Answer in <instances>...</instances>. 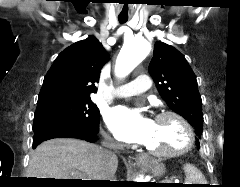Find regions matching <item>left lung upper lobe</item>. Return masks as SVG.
Segmentation results:
<instances>
[{
  "mask_svg": "<svg viewBox=\"0 0 240 187\" xmlns=\"http://www.w3.org/2000/svg\"><path fill=\"white\" fill-rule=\"evenodd\" d=\"M149 73L167 105L185 117L201 137L203 126L202 99L194 72L185 57L174 47L156 42ZM197 147L199 141L196 139Z\"/></svg>",
  "mask_w": 240,
  "mask_h": 187,
  "instance_id": "obj_1",
  "label": "left lung upper lobe"
}]
</instances>
